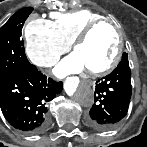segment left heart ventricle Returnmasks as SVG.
Segmentation results:
<instances>
[{
	"label": "left heart ventricle",
	"mask_w": 147,
	"mask_h": 147,
	"mask_svg": "<svg viewBox=\"0 0 147 147\" xmlns=\"http://www.w3.org/2000/svg\"><path fill=\"white\" fill-rule=\"evenodd\" d=\"M117 43L116 31L111 26L103 25L93 30L86 41L76 48L75 53L85 69L96 70L112 60Z\"/></svg>",
	"instance_id": "b2bd125f"
}]
</instances>
